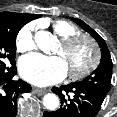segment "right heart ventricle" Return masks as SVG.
Masks as SVG:
<instances>
[{"label":"right heart ventricle","instance_id":"right-heart-ventricle-1","mask_svg":"<svg viewBox=\"0 0 117 117\" xmlns=\"http://www.w3.org/2000/svg\"><path fill=\"white\" fill-rule=\"evenodd\" d=\"M52 29L62 40L80 34V30L73 23L66 20H56L52 23Z\"/></svg>","mask_w":117,"mask_h":117}]
</instances>
